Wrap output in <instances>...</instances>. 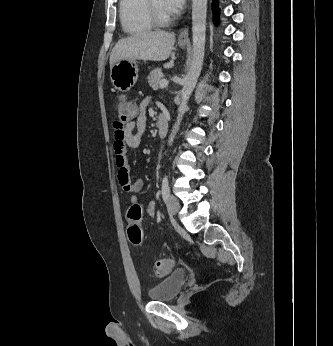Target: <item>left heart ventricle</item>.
Returning a JSON list of instances; mask_svg holds the SVG:
<instances>
[{
  "label": "left heart ventricle",
  "mask_w": 333,
  "mask_h": 346,
  "mask_svg": "<svg viewBox=\"0 0 333 346\" xmlns=\"http://www.w3.org/2000/svg\"><path fill=\"white\" fill-rule=\"evenodd\" d=\"M155 6L157 7L158 11L163 15H168V13L164 10L162 0H153Z\"/></svg>",
  "instance_id": "left-heart-ventricle-1"
}]
</instances>
